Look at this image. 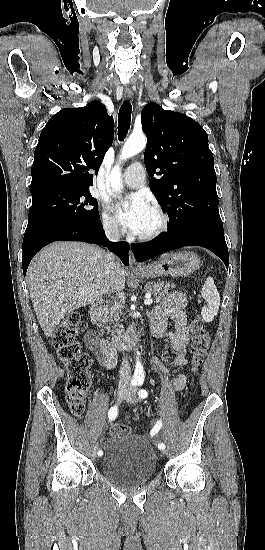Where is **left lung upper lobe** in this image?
<instances>
[{
	"mask_svg": "<svg viewBox=\"0 0 265 550\" xmlns=\"http://www.w3.org/2000/svg\"><path fill=\"white\" fill-rule=\"evenodd\" d=\"M141 122L148 140L144 163L152 177L149 186L168 213L169 230L196 225L224 233L205 130L192 118L156 103L143 108Z\"/></svg>",
	"mask_w": 265,
	"mask_h": 550,
	"instance_id": "5c2ea615",
	"label": "left lung upper lobe"
}]
</instances>
